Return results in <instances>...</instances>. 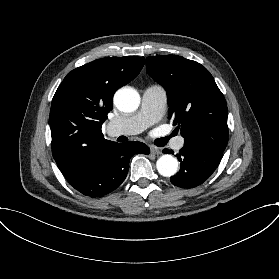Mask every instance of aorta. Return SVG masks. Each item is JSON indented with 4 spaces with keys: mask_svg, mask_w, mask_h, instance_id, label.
I'll list each match as a JSON object with an SVG mask.
<instances>
[{
    "mask_svg": "<svg viewBox=\"0 0 279 279\" xmlns=\"http://www.w3.org/2000/svg\"><path fill=\"white\" fill-rule=\"evenodd\" d=\"M114 104L120 111L132 112L139 107L140 96L133 88H121L114 95ZM156 167L160 175L171 177L178 170V160L170 154H164L157 160Z\"/></svg>",
    "mask_w": 279,
    "mask_h": 279,
    "instance_id": "aorta-1",
    "label": "aorta"
}]
</instances>
